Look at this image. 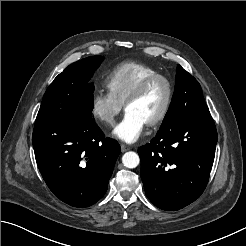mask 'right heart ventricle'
<instances>
[{
    "label": "right heart ventricle",
    "mask_w": 246,
    "mask_h": 246,
    "mask_svg": "<svg viewBox=\"0 0 246 246\" xmlns=\"http://www.w3.org/2000/svg\"><path fill=\"white\" fill-rule=\"evenodd\" d=\"M158 71L144 63L124 62L116 66L106 77L108 92L122 105L135 87L146 77Z\"/></svg>",
    "instance_id": "right-heart-ventricle-1"
}]
</instances>
